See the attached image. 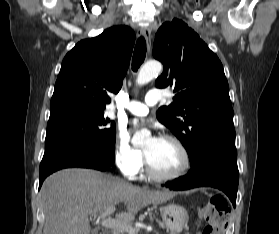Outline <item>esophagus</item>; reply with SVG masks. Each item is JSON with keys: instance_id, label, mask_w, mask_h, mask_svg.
<instances>
[{"instance_id": "obj_1", "label": "esophagus", "mask_w": 279, "mask_h": 234, "mask_svg": "<svg viewBox=\"0 0 279 234\" xmlns=\"http://www.w3.org/2000/svg\"><path fill=\"white\" fill-rule=\"evenodd\" d=\"M140 33L146 40L147 49L150 50V47H151V29L149 27H142L140 29Z\"/></svg>"}]
</instances>
